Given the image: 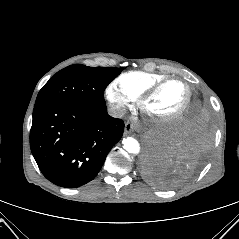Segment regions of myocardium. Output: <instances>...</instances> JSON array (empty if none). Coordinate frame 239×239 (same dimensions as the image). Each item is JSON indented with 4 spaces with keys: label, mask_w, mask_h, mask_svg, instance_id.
I'll return each instance as SVG.
<instances>
[{
    "label": "myocardium",
    "mask_w": 239,
    "mask_h": 239,
    "mask_svg": "<svg viewBox=\"0 0 239 239\" xmlns=\"http://www.w3.org/2000/svg\"><path fill=\"white\" fill-rule=\"evenodd\" d=\"M172 82H180L187 89V96H186V99H185L184 103L182 104V106L177 111H175L169 115H154V114L149 113L146 109L147 103L152 98H154L160 92V90L162 88H164L166 85H168L169 83H172ZM191 99H192V88L189 85V83H187L186 81L179 79V78L167 77V78L159 81L158 83L154 84L153 86H151L148 90H146L143 93V95L139 99V107H140L142 113L148 119H150L152 122H168V121H172V120H175V119L181 117L188 109V107L191 103Z\"/></svg>",
    "instance_id": "obj_1"
}]
</instances>
